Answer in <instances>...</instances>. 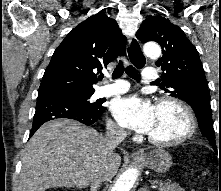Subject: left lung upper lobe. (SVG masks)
Masks as SVG:
<instances>
[{
    "mask_svg": "<svg viewBox=\"0 0 221 191\" xmlns=\"http://www.w3.org/2000/svg\"><path fill=\"white\" fill-rule=\"evenodd\" d=\"M136 37L142 43L155 41L161 45L163 56L156 62L164 71L161 88L192 107L202 135L216 149L208 82L195 46L178 26L162 16L145 19Z\"/></svg>",
    "mask_w": 221,
    "mask_h": 191,
    "instance_id": "left-lung-upper-lobe-1",
    "label": "left lung upper lobe"
}]
</instances>
